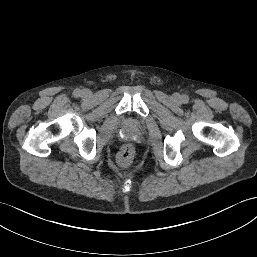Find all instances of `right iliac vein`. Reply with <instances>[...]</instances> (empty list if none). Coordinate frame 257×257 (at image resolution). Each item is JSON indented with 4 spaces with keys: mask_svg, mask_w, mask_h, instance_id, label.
<instances>
[{
    "mask_svg": "<svg viewBox=\"0 0 257 257\" xmlns=\"http://www.w3.org/2000/svg\"><path fill=\"white\" fill-rule=\"evenodd\" d=\"M83 94H84L85 96H87V95L89 94V91L85 90V91L83 92Z\"/></svg>",
    "mask_w": 257,
    "mask_h": 257,
    "instance_id": "63e3f726",
    "label": "right iliac vein"
}]
</instances>
